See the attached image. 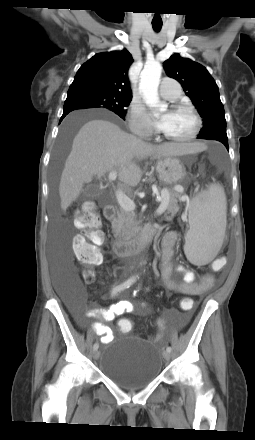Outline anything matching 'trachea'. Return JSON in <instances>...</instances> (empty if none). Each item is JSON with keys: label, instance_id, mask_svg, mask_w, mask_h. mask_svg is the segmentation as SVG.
Wrapping results in <instances>:
<instances>
[{"label": "trachea", "instance_id": "trachea-1", "mask_svg": "<svg viewBox=\"0 0 255 440\" xmlns=\"http://www.w3.org/2000/svg\"><path fill=\"white\" fill-rule=\"evenodd\" d=\"M153 29L158 32L162 28V23H152Z\"/></svg>", "mask_w": 255, "mask_h": 440}]
</instances>
